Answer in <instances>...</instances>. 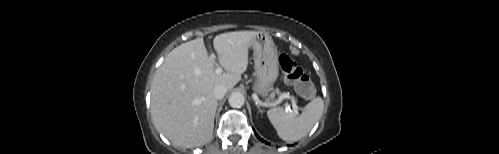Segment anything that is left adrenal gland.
<instances>
[{
	"label": "left adrenal gland",
	"mask_w": 499,
	"mask_h": 154,
	"mask_svg": "<svg viewBox=\"0 0 499 154\" xmlns=\"http://www.w3.org/2000/svg\"><path fill=\"white\" fill-rule=\"evenodd\" d=\"M256 105H257V104H256ZM257 107L259 108V105H257ZM260 112H262V111L260 110Z\"/></svg>",
	"instance_id": "a2214340"
}]
</instances>
